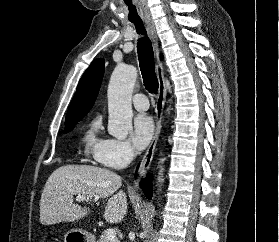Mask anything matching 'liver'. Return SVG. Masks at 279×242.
<instances>
[{
    "instance_id": "obj_1",
    "label": "liver",
    "mask_w": 279,
    "mask_h": 242,
    "mask_svg": "<svg viewBox=\"0 0 279 242\" xmlns=\"http://www.w3.org/2000/svg\"><path fill=\"white\" fill-rule=\"evenodd\" d=\"M122 178L108 169L90 165H65L48 178L40 200V222L52 225L73 222L86 216L90 209L74 204V195L89 198H108L104 217L110 223H119L127 213V196ZM119 190V191H118Z\"/></svg>"
}]
</instances>
